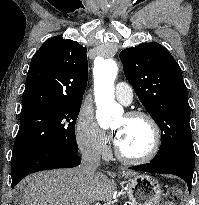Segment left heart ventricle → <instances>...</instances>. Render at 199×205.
<instances>
[{"label":"left heart ventricle","instance_id":"1","mask_svg":"<svg viewBox=\"0 0 199 205\" xmlns=\"http://www.w3.org/2000/svg\"><path fill=\"white\" fill-rule=\"evenodd\" d=\"M112 128L119 132L117 143L126 155L142 156L149 150L152 132L144 119H130L123 115L112 122Z\"/></svg>","mask_w":199,"mask_h":205}]
</instances>
